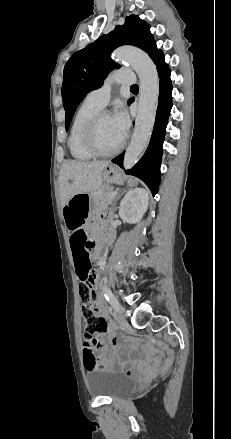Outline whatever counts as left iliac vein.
Masks as SVG:
<instances>
[{"instance_id":"left-iliac-vein-1","label":"left iliac vein","mask_w":231,"mask_h":439,"mask_svg":"<svg viewBox=\"0 0 231 439\" xmlns=\"http://www.w3.org/2000/svg\"><path fill=\"white\" fill-rule=\"evenodd\" d=\"M114 308V317L119 322L120 325L124 326L126 325V319H125V308L123 306H117Z\"/></svg>"}]
</instances>
